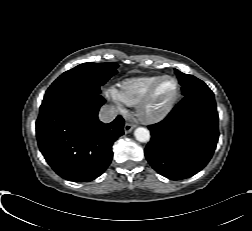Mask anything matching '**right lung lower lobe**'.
I'll list each match as a JSON object with an SVG mask.
<instances>
[{
	"mask_svg": "<svg viewBox=\"0 0 252 231\" xmlns=\"http://www.w3.org/2000/svg\"><path fill=\"white\" fill-rule=\"evenodd\" d=\"M105 99L95 90L70 91L43 100L36 121L39 149L62 178L91 181L109 166L112 145L124 134L118 116L104 124L98 119Z\"/></svg>",
	"mask_w": 252,
	"mask_h": 231,
	"instance_id": "obj_1",
	"label": "right lung lower lobe"
}]
</instances>
